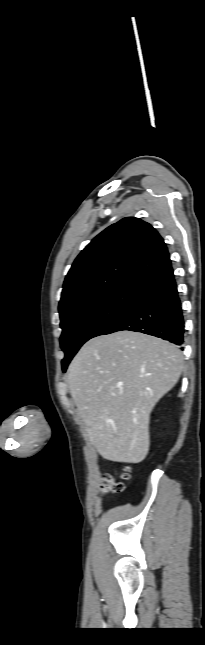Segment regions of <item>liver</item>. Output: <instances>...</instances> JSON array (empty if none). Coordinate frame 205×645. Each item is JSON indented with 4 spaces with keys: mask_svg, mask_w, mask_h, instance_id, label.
Segmentation results:
<instances>
[{
    "mask_svg": "<svg viewBox=\"0 0 205 645\" xmlns=\"http://www.w3.org/2000/svg\"><path fill=\"white\" fill-rule=\"evenodd\" d=\"M179 348L139 332L119 331L86 342L68 368V383L90 443L105 459L139 463L150 446L156 403L178 382Z\"/></svg>",
    "mask_w": 205,
    "mask_h": 645,
    "instance_id": "6515ba94",
    "label": "liver"
}]
</instances>
